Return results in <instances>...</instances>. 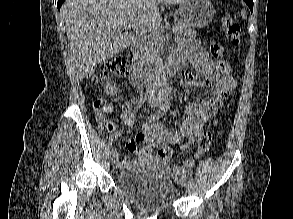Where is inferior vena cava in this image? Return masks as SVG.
<instances>
[{
  "label": "inferior vena cava",
  "instance_id": "1",
  "mask_svg": "<svg viewBox=\"0 0 293 219\" xmlns=\"http://www.w3.org/2000/svg\"><path fill=\"white\" fill-rule=\"evenodd\" d=\"M137 71L142 74L146 78L152 77L151 69L148 65H144L143 61L141 60L139 63V66L137 68ZM155 85V84H154Z\"/></svg>",
  "mask_w": 293,
  "mask_h": 219
}]
</instances>
